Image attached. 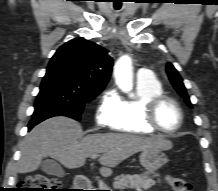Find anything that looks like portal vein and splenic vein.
I'll use <instances>...</instances> for the list:
<instances>
[{
	"mask_svg": "<svg viewBox=\"0 0 218 191\" xmlns=\"http://www.w3.org/2000/svg\"><path fill=\"white\" fill-rule=\"evenodd\" d=\"M98 155H91V159H95L97 158ZM99 187H100V190H106L107 186L104 184V182L102 180L99 181Z\"/></svg>",
	"mask_w": 218,
	"mask_h": 191,
	"instance_id": "18ae733b",
	"label": "portal vein and splenic vein"
}]
</instances>
